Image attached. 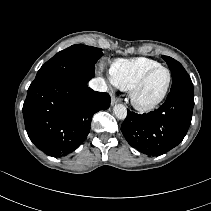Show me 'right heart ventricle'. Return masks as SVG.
I'll list each match as a JSON object with an SVG mask.
<instances>
[{
	"mask_svg": "<svg viewBox=\"0 0 211 211\" xmlns=\"http://www.w3.org/2000/svg\"><path fill=\"white\" fill-rule=\"evenodd\" d=\"M158 65L159 62L146 57L119 59L110 67L111 81L121 90H131L147 70Z\"/></svg>",
	"mask_w": 211,
	"mask_h": 211,
	"instance_id": "right-heart-ventricle-1",
	"label": "right heart ventricle"
}]
</instances>
